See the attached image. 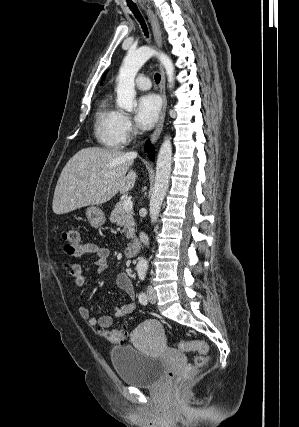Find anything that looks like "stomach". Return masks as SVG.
Listing matches in <instances>:
<instances>
[{
  "instance_id": "obj_1",
  "label": "stomach",
  "mask_w": 299,
  "mask_h": 427,
  "mask_svg": "<svg viewBox=\"0 0 299 427\" xmlns=\"http://www.w3.org/2000/svg\"><path fill=\"white\" fill-rule=\"evenodd\" d=\"M86 217L89 223L96 228L102 226L106 221L104 212L96 206H90L86 209Z\"/></svg>"
}]
</instances>
